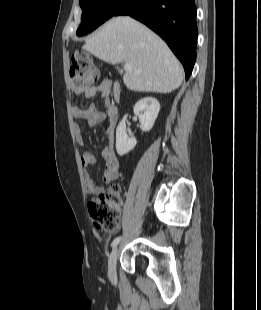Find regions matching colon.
<instances>
[{
    "instance_id": "5ec220e1",
    "label": "colon",
    "mask_w": 261,
    "mask_h": 310,
    "mask_svg": "<svg viewBox=\"0 0 261 310\" xmlns=\"http://www.w3.org/2000/svg\"><path fill=\"white\" fill-rule=\"evenodd\" d=\"M99 79V70L90 55L76 53L71 59L70 80L73 86H91ZM121 197L119 188L110 186L90 199L88 209L94 225L101 231L114 232L120 224Z\"/></svg>"
}]
</instances>
